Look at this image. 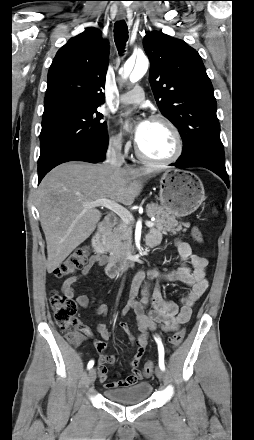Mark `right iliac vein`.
Masks as SVG:
<instances>
[{
	"label": "right iliac vein",
	"instance_id": "1",
	"mask_svg": "<svg viewBox=\"0 0 254 440\" xmlns=\"http://www.w3.org/2000/svg\"><path fill=\"white\" fill-rule=\"evenodd\" d=\"M95 379H96V370L95 368H91L88 372V383L89 384L94 383Z\"/></svg>",
	"mask_w": 254,
	"mask_h": 440
}]
</instances>
